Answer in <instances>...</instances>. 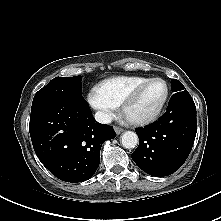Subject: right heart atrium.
I'll return each mask as SVG.
<instances>
[{"label": "right heart atrium", "instance_id": "1", "mask_svg": "<svg viewBox=\"0 0 221 221\" xmlns=\"http://www.w3.org/2000/svg\"><path fill=\"white\" fill-rule=\"evenodd\" d=\"M87 101L90 107L96 111L98 119L103 123H109L118 112V106L97 86L89 90Z\"/></svg>", "mask_w": 221, "mask_h": 221}]
</instances>
